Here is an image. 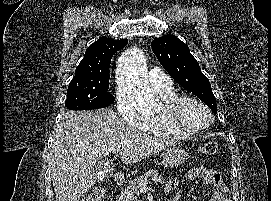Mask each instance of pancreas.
<instances>
[{
    "label": "pancreas",
    "mask_w": 271,
    "mask_h": 201,
    "mask_svg": "<svg viewBox=\"0 0 271 201\" xmlns=\"http://www.w3.org/2000/svg\"><path fill=\"white\" fill-rule=\"evenodd\" d=\"M148 179H151L159 184L165 183L164 178L157 170H149L139 178L129 181L128 186L121 191L120 195L116 197V201H140V190L138 188V183L147 182Z\"/></svg>",
    "instance_id": "obj_1"
}]
</instances>
